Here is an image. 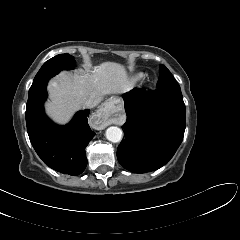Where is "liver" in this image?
Masks as SVG:
<instances>
[{
	"instance_id": "6515ba94",
	"label": "liver",
	"mask_w": 240,
	"mask_h": 240,
	"mask_svg": "<svg viewBox=\"0 0 240 240\" xmlns=\"http://www.w3.org/2000/svg\"><path fill=\"white\" fill-rule=\"evenodd\" d=\"M130 89L125 67L115 62L95 66L91 73L68 75L61 72L48 84L50 100L46 113L57 123L66 124L89 98L98 101L107 94H120Z\"/></svg>"
}]
</instances>
